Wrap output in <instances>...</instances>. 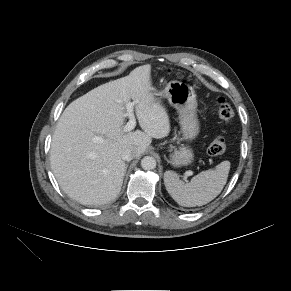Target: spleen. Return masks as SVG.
Wrapping results in <instances>:
<instances>
[{"label": "spleen", "mask_w": 291, "mask_h": 291, "mask_svg": "<svg viewBox=\"0 0 291 291\" xmlns=\"http://www.w3.org/2000/svg\"><path fill=\"white\" fill-rule=\"evenodd\" d=\"M230 162L223 161L215 168L202 171L190 182L179 180L176 173L166 171L164 184L170 196L181 206H202L215 199L227 182Z\"/></svg>", "instance_id": "3e777b00"}]
</instances>
